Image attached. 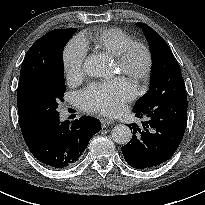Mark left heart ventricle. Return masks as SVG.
Returning a JSON list of instances; mask_svg holds the SVG:
<instances>
[{"label": "left heart ventricle", "mask_w": 205, "mask_h": 205, "mask_svg": "<svg viewBox=\"0 0 205 205\" xmlns=\"http://www.w3.org/2000/svg\"><path fill=\"white\" fill-rule=\"evenodd\" d=\"M143 65V56L140 52H137L133 59V69L135 72L139 71Z\"/></svg>", "instance_id": "left-heart-ventricle-1"}]
</instances>
